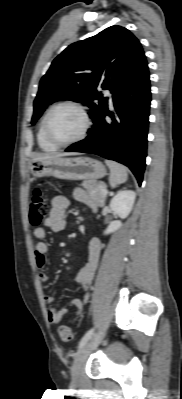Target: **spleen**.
I'll use <instances>...</instances> for the list:
<instances>
[{
	"label": "spleen",
	"mask_w": 182,
	"mask_h": 399,
	"mask_svg": "<svg viewBox=\"0 0 182 399\" xmlns=\"http://www.w3.org/2000/svg\"><path fill=\"white\" fill-rule=\"evenodd\" d=\"M105 163L110 169L109 183L112 188L127 180V169L123 165L110 160H105Z\"/></svg>",
	"instance_id": "spleen-1"
}]
</instances>
